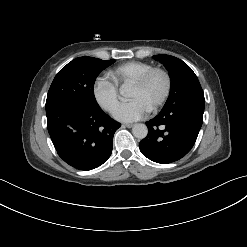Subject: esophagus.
Here are the masks:
<instances>
[{"label": "esophagus", "mask_w": 247, "mask_h": 247, "mask_svg": "<svg viewBox=\"0 0 247 247\" xmlns=\"http://www.w3.org/2000/svg\"><path fill=\"white\" fill-rule=\"evenodd\" d=\"M123 127H127V128H132L134 126V124L132 123H126L122 125Z\"/></svg>", "instance_id": "obj_1"}]
</instances>
